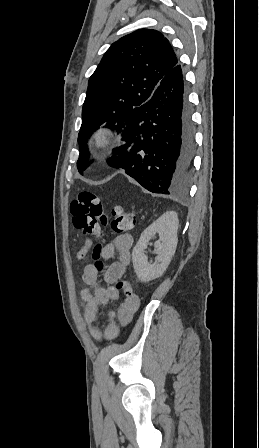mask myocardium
Here are the masks:
<instances>
[{"label":"myocardium","instance_id":"1","mask_svg":"<svg viewBox=\"0 0 259 448\" xmlns=\"http://www.w3.org/2000/svg\"><path fill=\"white\" fill-rule=\"evenodd\" d=\"M112 130L106 126H99L92 130L88 137V156L93 160H104L106 153L104 149L110 144Z\"/></svg>","mask_w":259,"mask_h":448}]
</instances>
